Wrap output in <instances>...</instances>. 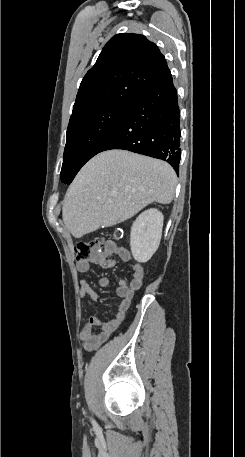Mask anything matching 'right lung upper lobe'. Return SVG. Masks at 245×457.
<instances>
[{"mask_svg":"<svg viewBox=\"0 0 245 457\" xmlns=\"http://www.w3.org/2000/svg\"><path fill=\"white\" fill-rule=\"evenodd\" d=\"M170 77L154 43L139 34H117L84 76L71 118L116 101L133 103L145 90Z\"/></svg>","mask_w":245,"mask_h":457,"instance_id":"1","label":"right lung upper lobe"}]
</instances>
